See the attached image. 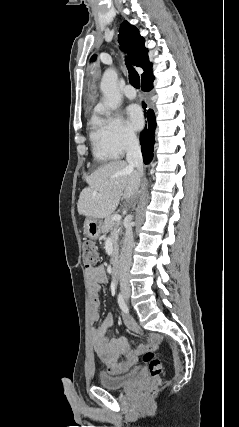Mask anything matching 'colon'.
<instances>
[{"instance_id": "colon-1", "label": "colon", "mask_w": 239, "mask_h": 427, "mask_svg": "<svg viewBox=\"0 0 239 427\" xmlns=\"http://www.w3.org/2000/svg\"><path fill=\"white\" fill-rule=\"evenodd\" d=\"M83 261L86 267H91L98 262V252L96 246L92 242H86L83 244ZM143 360L149 365V372L152 378V391L158 386L160 382L162 365L160 360L156 358L154 352L152 351L146 352L143 355Z\"/></svg>"}]
</instances>
